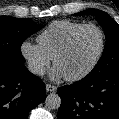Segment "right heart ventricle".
Returning <instances> with one entry per match:
<instances>
[{"label":"right heart ventricle","instance_id":"obj_1","mask_svg":"<svg viewBox=\"0 0 119 119\" xmlns=\"http://www.w3.org/2000/svg\"><path fill=\"white\" fill-rule=\"evenodd\" d=\"M83 25L68 20L54 21L38 36V45L53 59L69 36Z\"/></svg>","mask_w":119,"mask_h":119}]
</instances>
